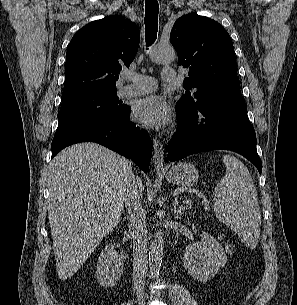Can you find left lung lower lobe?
Here are the masks:
<instances>
[{
	"instance_id": "obj_1",
	"label": "left lung lower lobe",
	"mask_w": 297,
	"mask_h": 305,
	"mask_svg": "<svg viewBox=\"0 0 297 305\" xmlns=\"http://www.w3.org/2000/svg\"><path fill=\"white\" fill-rule=\"evenodd\" d=\"M176 112L178 128L167 147L169 161L194 153L223 149L243 155L261 174L256 134L248 119L240 89L206 100L193 110L176 105Z\"/></svg>"
}]
</instances>
